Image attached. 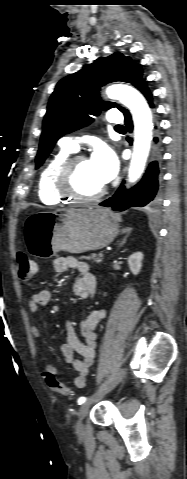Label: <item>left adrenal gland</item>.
I'll use <instances>...</instances> for the list:
<instances>
[{
	"label": "left adrenal gland",
	"instance_id": "1",
	"mask_svg": "<svg viewBox=\"0 0 187 479\" xmlns=\"http://www.w3.org/2000/svg\"><path fill=\"white\" fill-rule=\"evenodd\" d=\"M131 228H126V229H123L121 232L122 233H125V236L124 238L122 239V241L120 242L119 246H122L123 244L126 243L127 241V237L129 236V234L131 233Z\"/></svg>",
	"mask_w": 187,
	"mask_h": 479
}]
</instances>
